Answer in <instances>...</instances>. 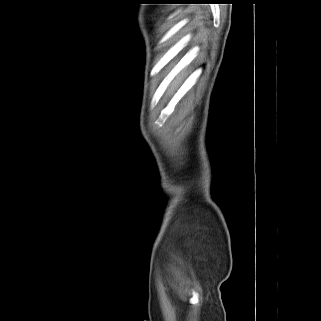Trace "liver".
<instances>
[{
  "instance_id": "liver-1",
  "label": "liver",
  "mask_w": 321,
  "mask_h": 321,
  "mask_svg": "<svg viewBox=\"0 0 321 321\" xmlns=\"http://www.w3.org/2000/svg\"><path fill=\"white\" fill-rule=\"evenodd\" d=\"M179 78L174 82V84H176L178 82Z\"/></svg>"
}]
</instances>
